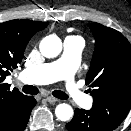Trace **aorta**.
<instances>
[{
  "instance_id": "obj_1",
  "label": "aorta",
  "mask_w": 131,
  "mask_h": 131,
  "mask_svg": "<svg viewBox=\"0 0 131 131\" xmlns=\"http://www.w3.org/2000/svg\"><path fill=\"white\" fill-rule=\"evenodd\" d=\"M40 51L47 58L58 56L62 50V41L56 35H49L40 42ZM56 117L61 121H67L73 116V109L69 104L62 103L57 105L55 109Z\"/></svg>"
}]
</instances>
